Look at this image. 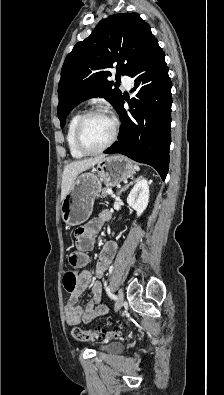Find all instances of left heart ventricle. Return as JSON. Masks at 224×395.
I'll use <instances>...</instances> for the list:
<instances>
[{"label":"left heart ventricle","mask_w":224,"mask_h":395,"mask_svg":"<svg viewBox=\"0 0 224 395\" xmlns=\"http://www.w3.org/2000/svg\"><path fill=\"white\" fill-rule=\"evenodd\" d=\"M113 130L112 121L104 115L89 117L82 129V140L89 149L102 147L111 137Z\"/></svg>","instance_id":"1"}]
</instances>
